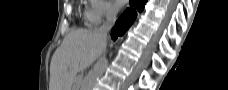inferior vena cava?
Here are the masks:
<instances>
[{"mask_svg":"<svg viewBox=\"0 0 228 90\" xmlns=\"http://www.w3.org/2000/svg\"><path fill=\"white\" fill-rule=\"evenodd\" d=\"M117 10L109 6L106 12V22L97 30H95L102 38L106 39L109 30L116 21Z\"/></svg>","mask_w":228,"mask_h":90,"instance_id":"1","label":"inferior vena cava"}]
</instances>
